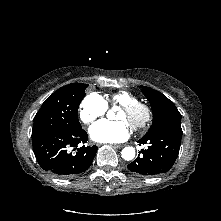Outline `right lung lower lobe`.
I'll return each mask as SVG.
<instances>
[{
    "label": "right lung lower lobe",
    "instance_id": "obj_1",
    "mask_svg": "<svg viewBox=\"0 0 221 221\" xmlns=\"http://www.w3.org/2000/svg\"><path fill=\"white\" fill-rule=\"evenodd\" d=\"M87 139L82 128L48 131L32 139L33 151L42 169L60 177H72L88 169L98 150L95 145L77 149Z\"/></svg>",
    "mask_w": 221,
    "mask_h": 221
}]
</instances>
